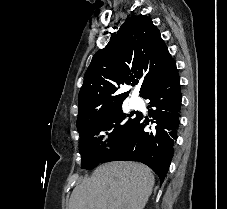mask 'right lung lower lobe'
<instances>
[{"mask_svg": "<svg viewBox=\"0 0 227 209\" xmlns=\"http://www.w3.org/2000/svg\"><path fill=\"white\" fill-rule=\"evenodd\" d=\"M156 72L158 77L143 96L150 100L149 107H153L149 110V116L153 118L151 122L154 123L152 129H145L149 123L143 121L142 115L138 114L124 137L110 148L101 163L142 162L158 175L162 184L174 153L180 123L181 93L175 62L156 69Z\"/></svg>", "mask_w": 227, "mask_h": 209, "instance_id": "right-lung-lower-lobe-1", "label": "right lung lower lobe"}]
</instances>
